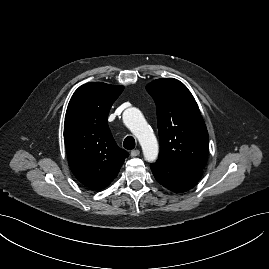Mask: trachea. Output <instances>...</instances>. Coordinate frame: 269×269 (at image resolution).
I'll return each mask as SVG.
<instances>
[{
  "mask_svg": "<svg viewBox=\"0 0 269 269\" xmlns=\"http://www.w3.org/2000/svg\"><path fill=\"white\" fill-rule=\"evenodd\" d=\"M123 146L127 150L135 148V139L132 136H127L123 142Z\"/></svg>",
  "mask_w": 269,
  "mask_h": 269,
  "instance_id": "trachea-1",
  "label": "trachea"
}]
</instances>
